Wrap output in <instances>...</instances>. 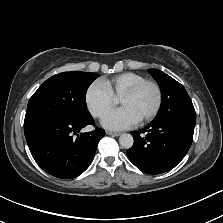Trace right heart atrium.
Masks as SVG:
<instances>
[{"mask_svg":"<svg viewBox=\"0 0 223 223\" xmlns=\"http://www.w3.org/2000/svg\"><path fill=\"white\" fill-rule=\"evenodd\" d=\"M115 98L108 91L103 81L92 82L85 91V104L95 118L103 117L114 105Z\"/></svg>","mask_w":223,"mask_h":223,"instance_id":"d8ad5b80","label":"right heart atrium"}]
</instances>
